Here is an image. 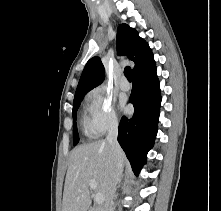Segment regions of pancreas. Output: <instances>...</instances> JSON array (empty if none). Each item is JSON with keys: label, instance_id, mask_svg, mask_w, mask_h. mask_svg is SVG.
Masks as SVG:
<instances>
[{"label": "pancreas", "instance_id": "1", "mask_svg": "<svg viewBox=\"0 0 221 211\" xmlns=\"http://www.w3.org/2000/svg\"><path fill=\"white\" fill-rule=\"evenodd\" d=\"M89 211H103V208L102 207H99L97 209L92 208Z\"/></svg>", "mask_w": 221, "mask_h": 211}]
</instances>
